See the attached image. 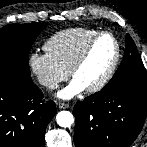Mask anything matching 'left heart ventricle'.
<instances>
[{
  "instance_id": "left-heart-ventricle-1",
  "label": "left heart ventricle",
  "mask_w": 147,
  "mask_h": 147,
  "mask_svg": "<svg viewBox=\"0 0 147 147\" xmlns=\"http://www.w3.org/2000/svg\"><path fill=\"white\" fill-rule=\"evenodd\" d=\"M115 56V44L110 36H102L92 46L90 53L74 78L85 88L100 81L107 73Z\"/></svg>"
}]
</instances>
